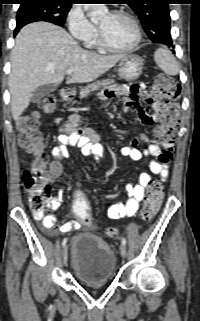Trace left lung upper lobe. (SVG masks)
Masks as SVG:
<instances>
[{
    "label": "left lung upper lobe",
    "mask_w": 200,
    "mask_h": 321,
    "mask_svg": "<svg viewBox=\"0 0 200 321\" xmlns=\"http://www.w3.org/2000/svg\"><path fill=\"white\" fill-rule=\"evenodd\" d=\"M138 15L150 40L164 44L172 41L170 34V0H124Z\"/></svg>",
    "instance_id": "5c2ea615"
}]
</instances>
